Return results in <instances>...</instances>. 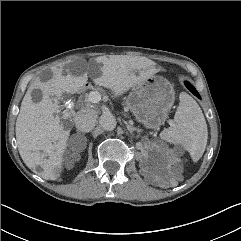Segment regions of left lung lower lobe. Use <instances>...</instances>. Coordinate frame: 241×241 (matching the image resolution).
I'll return each mask as SVG.
<instances>
[{"label":"left lung lower lobe","mask_w":241,"mask_h":241,"mask_svg":"<svg viewBox=\"0 0 241 241\" xmlns=\"http://www.w3.org/2000/svg\"><path fill=\"white\" fill-rule=\"evenodd\" d=\"M186 86L188 87V89L196 96L199 97L197 91L194 89V87L192 85H190L189 83H186Z\"/></svg>","instance_id":"obj_1"}]
</instances>
